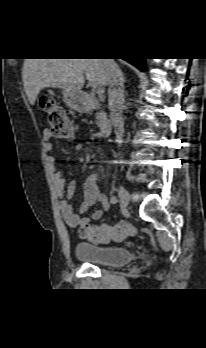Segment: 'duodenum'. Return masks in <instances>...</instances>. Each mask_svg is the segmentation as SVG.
<instances>
[{
    "mask_svg": "<svg viewBox=\"0 0 206 348\" xmlns=\"http://www.w3.org/2000/svg\"><path fill=\"white\" fill-rule=\"evenodd\" d=\"M84 103L86 110H92L101 107V103L97 99L90 96H87L84 99ZM100 131L103 136H108L113 131L112 122L103 114L100 116Z\"/></svg>",
    "mask_w": 206,
    "mask_h": 348,
    "instance_id": "410a0bca",
    "label": "duodenum"
}]
</instances>
